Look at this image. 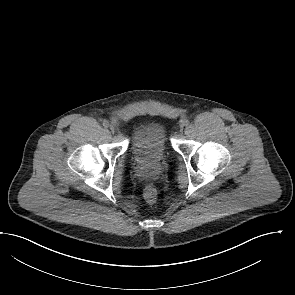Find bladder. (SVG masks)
<instances>
[{
    "instance_id": "obj_1",
    "label": "bladder",
    "mask_w": 295,
    "mask_h": 295,
    "mask_svg": "<svg viewBox=\"0 0 295 295\" xmlns=\"http://www.w3.org/2000/svg\"><path fill=\"white\" fill-rule=\"evenodd\" d=\"M167 145V129L156 119L144 121L130 136V151L138 164L158 163L164 158Z\"/></svg>"
}]
</instances>
